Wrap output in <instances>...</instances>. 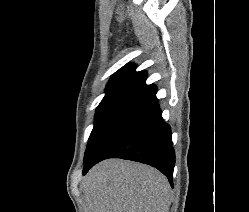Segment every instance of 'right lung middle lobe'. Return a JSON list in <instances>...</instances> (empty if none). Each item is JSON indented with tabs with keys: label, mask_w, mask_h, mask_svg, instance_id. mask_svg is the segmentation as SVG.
Here are the masks:
<instances>
[{
	"label": "right lung middle lobe",
	"mask_w": 249,
	"mask_h": 212,
	"mask_svg": "<svg viewBox=\"0 0 249 212\" xmlns=\"http://www.w3.org/2000/svg\"><path fill=\"white\" fill-rule=\"evenodd\" d=\"M136 98L134 95L115 94L103 98L96 109L95 123L84 155V162L90 157L100 138L119 114Z\"/></svg>",
	"instance_id": "right-lung-middle-lobe-1"
}]
</instances>
